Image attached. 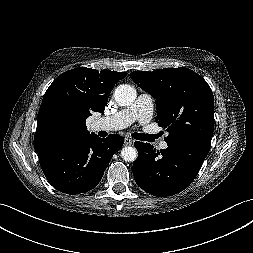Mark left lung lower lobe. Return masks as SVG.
<instances>
[{"instance_id":"obj_1","label":"left lung lower lobe","mask_w":253,"mask_h":253,"mask_svg":"<svg viewBox=\"0 0 253 253\" xmlns=\"http://www.w3.org/2000/svg\"><path fill=\"white\" fill-rule=\"evenodd\" d=\"M138 157L133 164L137 185L154 196L164 197L186 189L196 177L210 144L189 142L168 145L156 151L149 143L136 141Z\"/></svg>"}]
</instances>
